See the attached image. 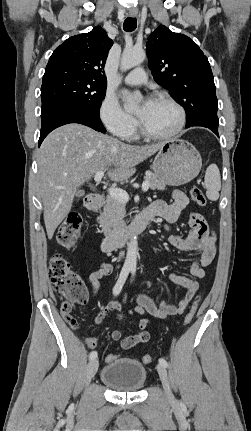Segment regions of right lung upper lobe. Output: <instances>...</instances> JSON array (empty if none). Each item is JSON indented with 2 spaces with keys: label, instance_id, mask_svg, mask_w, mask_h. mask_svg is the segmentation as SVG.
<instances>
[{
  "label": "right lung upper lobe",
  "instance_id": "right-lung-upper-lobe-1",
  "mask_svg": "<svg viewBox=\"0 0 251 431\" xmlns=\"http://www.w3.org/2000/svg\"><path fill=\"white\" fill-rule=\"evenodd\" d=\"M113 41L99 26L72 36L55 49L45 70L65 68L100 82H107L104 65Z\"/></svg>",
  "mask_w": 251,
  "mask_h": 431
}]
</instances>
